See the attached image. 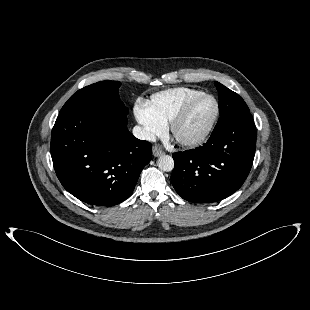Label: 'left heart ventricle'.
<instances>
[{
  "instance_id": "obj_1",
  "label": "left heart ventricle",
  "mask_w": 310,
  "mask_h": 310,
  "mask_svg": "<svg viewBox=\"0 0 310 310\" xmlns=\"http://www.w3.org/2000/svg\"><path fill=\"white\" fill-rule=\"evenodd\" d=\"M214 109V102L209 98L195 103L187 117L177 127L178 137L189 139L199 135L212 118Z\"/></svg>"
}]
</instances>
